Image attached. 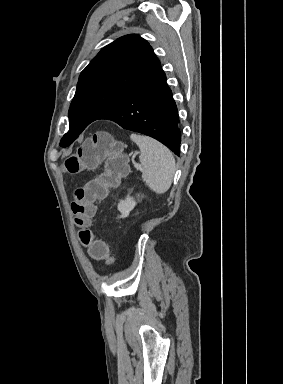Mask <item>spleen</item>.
Masks as SVG:
<instances>
[{"instance_id": "3e777b00", "label": "spleen", "mask_w": 283, "mask_h": 384, "mask_svg": "<svg viewBox=\"0 0 283 384\" xmlns=\"http://www.w3.org/2000/svg\"><path fill=\"white\" fill-rule=\"evenodd\" d=\"M130 138L140 148L139 160L146 186L156 194H165L173 182L176 170L172 152L153 138L137 134H131Z\"/></svg>"}]
</instances>
